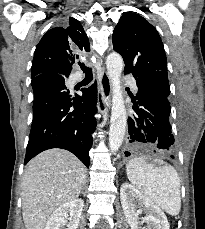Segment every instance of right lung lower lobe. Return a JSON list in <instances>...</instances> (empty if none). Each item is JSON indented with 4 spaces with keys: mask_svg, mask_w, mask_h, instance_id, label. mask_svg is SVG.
Returning a JSON list of instances; mask_svg holds the SVG:
<instances>
[{
    "mask_svg": "<svg viewBox=\"0 0 205 229\" xmlns=\"http://www.w3.org/2000/svg\"><path fill=\"white\" fill-rule=\"evenodd\" d=\"M64 76L47 71L32 78L33 121L24 164L40 152L63 148L89 167L92 133L96 128L97 84L83 88L72 100Z\"/></svg>",
    "mask_w": 205,
    "mask_h": 229,
    "instance_id": "right-lung-lower-lobe-1",
    "label": "right lung lower lobe"
}]
</instances>
